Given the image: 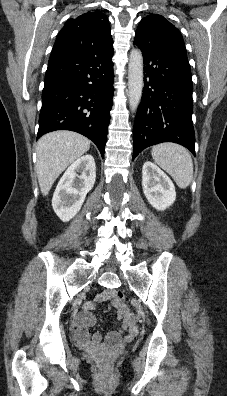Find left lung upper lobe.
<instances>
[{"instance_id":"5c2ea615","label":"left lung upper lobe","mask_w":227,"mask_h":396,"mask_svg":"<svg viewBox=\"0 0 227 396\" xmlns=\"http://www.w3.org/2000/svg\"><path fill=\"white\" fill-rule=\"evenodd\" d=\"M134 41L146 48L166 49L187 57L180 31L158 14H150L140 21Z\"/></svg>"}]
</instances>
